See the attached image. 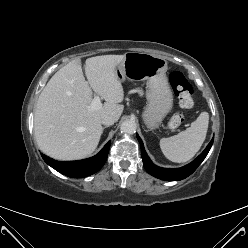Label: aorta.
Listing matches in <instances>:
<instances>
[{"instance_id": "aorta-1", "label": "aorta", "mask_w": 248, "mask_h": 248, "mask_svg": "<svg viewBox=\"0 0 248 248\" xmlns=\"http://www.w3.org/2000/svg\"><path fill=\"white\" fill-rule=\"evenodd\" d=\"M136 123L133 121H124L121 126H120V130L121 132L125 133V134H133L136 132Z\"/></svg>"}]
</instances>
